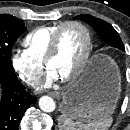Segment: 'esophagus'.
<instances>
[{"mask_svg": "<svg viewBox=\"0 0 130 130\" xmlns=\"http://www.w3.org/2000/svg\"><path fill=\"white\" fill-rule=\"evenodd\" d=\"M49 95L54 97V98H59L60 97V93L59 92H50Z\"/></svg>", "mask_w": 130, "mask_h": 130, "instance_id": "obj_1", "label": "esophagus"}]
</instances>
